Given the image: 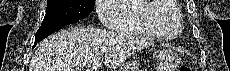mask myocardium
<instances>
[{"mask_svg":"<svg viewBox=\"0 0 230 71\" xmlns=\"http://www.w3.org/2000/svg\"><path fill=\"white\" fill-rule=\"evenodd\" d=\"M159 1H170V0H159Z\"/></svg>","mask_w":230,"mask_h":71,"instance_id":"f54148a6","label":"myocardium"}]
</instances>
